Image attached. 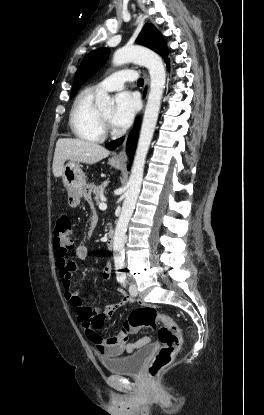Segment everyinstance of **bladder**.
Here are the masks:
<instances>
[{"instance_id": "31cf9c89", "label": "bladder", "mask_w": 264, "mask_h": 415, "mask_svg": "<svg viewBox=\"0 0 264 415\" xmlns=\"http://www.w3.org/2000/svg\"><path fill=\"white\" fill-rule=\"evenodd\" d=\"M155 351V344L148 343L128 356L103 359L102 364L108 372L138 375L146 359Z\"/></svg>"}]
</instances>
